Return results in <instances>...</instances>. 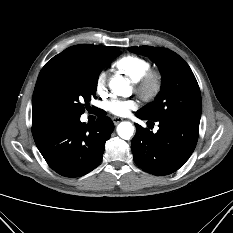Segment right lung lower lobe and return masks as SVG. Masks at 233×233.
I'll return each instance as SVG.
<instances>
[{
	"instance_id": "98d812e1",
	"label": "right lung lower lobe",
	"mask_w": 233,
	"mask_h": 233,
	"mask_svg": "<svg viewBox=\"0 0 233 233\" xmlns=\"http://www.w3.org/2000/svg\"><path fill=\"white\" fill-rule=\"evenodd\" d=\"M114 124L100 117L92 126L80 116H57L32 125L34 141L47 164L65 177L83 176L96 168Z\"/></svg>"
}]
</instances>
